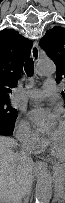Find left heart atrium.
<instances>
[{
	"mask_svg": "<svg viewBox=\"0 0 65 203\" xmlns=\"http://www.w3.org/2000/svg\"><path fill=\"white\" fill-rule=\"evenodd\" d=\"M29 115L31 120L41 132H48L51 134L56 128L61 125L56 114L42 108L32 110ZM49 122L56 123L55 128H53L52 130H50L49 128Z\"/></svg>",
	"mask_w": 65,
	"mask_h": 203,
	"instance_id": "obj_1",
	"label": "left heart atrium"
}]
</instances>
